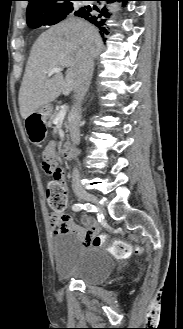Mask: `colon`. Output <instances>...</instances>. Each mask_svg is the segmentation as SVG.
<instances>
[{
    "label": "colon",
    "instance_id": "obj_1",
    "mask_svg": "<svg viewBox=\"0 0 183 329\" xmlns=\"http://www.w3.org/2000/svg\"><path fill=\"white\" fill-rule=\"evenodd\" d=\"M44 172L52 177L47 186V200L52 213L57 216H63L68 203V194L65 184L62 180V170L58 167L50 156L43 158ZM93 244L99 247H109L117 256H126L130 253L127 244L121 241L110 242L105 235H96L93 237Z\"/></svg>",
    "mask_w": 183,
    "mask_h": 329
}]
</instances>
